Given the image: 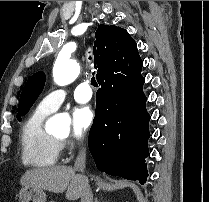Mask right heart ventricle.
I'll list each match as a JSON object with an SVG mask.
<instances>
[{
  "instance_id": "1",
  "label": "right heart ventricle",
  "mask_w": 209,
  "mask_h": 202,
  "mask_svg": "<svg viewBox=\"0 0 209 202\" xmlns=\"http://www.w3.org/2000/svg\"><path fill=\"white\" fill-rule=\"evenodd\" d=\"M50 113L39 106L23 123L20 132V146L21 160L24 165L47 168L57 163L60 144L44 128V121Z\"/></svg>"
}]
</instances>
